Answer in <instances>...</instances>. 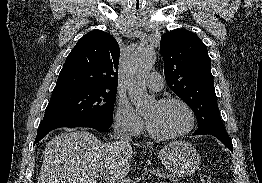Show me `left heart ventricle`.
<instances>
[{
    "mask_svg": "<svg viewBox=\"0 0 262 183\" xmlns=\"http://www.w3.org/2000/svg\"><path fill=\"white\" fill-rule=\"evenodd\" d=\"M145 117L152 129L163 135H171L186 129L190 122L187 110L177 103L151 106Z\"/></svg>",
    "mask_w": 262,
    "mask_h": 183,
    "instance_id": "left-heart-ventricle-1",
    "label": "left heart ventricle"
}]
</instances>
